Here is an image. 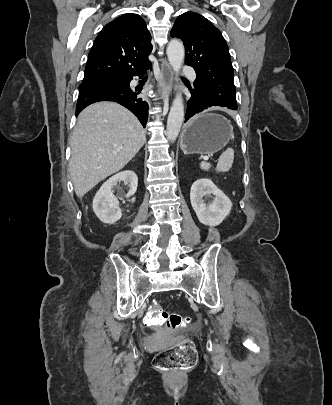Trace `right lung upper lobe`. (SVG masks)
Returning a JSON list of instances; mask_svg holds the SVG:
<instances>
[{
  "label": "right lung upper lobe",
  "mask_w": 332,
  "mask_h": 405,
  "mask_svg": "<svg viewBox=\"0 0 332 405\" xmlns=\"http://www.w3.org/2000/svg\"><path fill=\"white\" fill-rule=\"evenodd\" d=\"M151 34L137 14L122 15L108 23L96 37L88 55L86 80L133 73L148 64Z\"/></svg>",
  "instance_id": "1"
}]
</instances>
